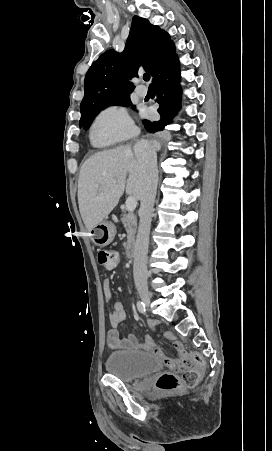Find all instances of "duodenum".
Listing matches in <instances>:
<instances>
[{
    "instance_id": "obj_1",
    "label": "duodenum",
    "mask_w": 272,
    "mask_h": 451,
    "mask_svg": "<svg viewBox=\"0 0 272 451\" xmlns=\"http://www.w3.org/2000/svg\"><path fill=\"white\" fill-rule=\"evenodd\" d=\"M126 254H127L128 258L133 259L134 256H135V248H134V246H132V245L128 246Z\"/></svg>"
}]
</instances>
